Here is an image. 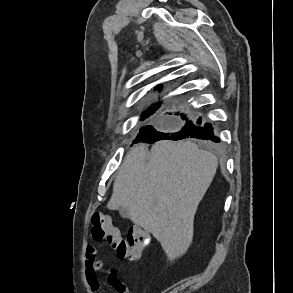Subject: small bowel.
I'll list each match as a JSON object with an SVG mask.
<instances>
[{
	"instance_id": "small-bowel-1",
	"label": "small bowel",
	"mask_w": 293,
	"mask_h": 293,
	"mask_svg": "<svg viewBox=\"0 0 293 293\" xmlns=\"http://www.w3.org/2000/svg\"><path fill=\"white\" fill-rule=\"evenodd\" d=\"M103 268L104 262L102 259L96 257L95 246L93 244H87L84 273L86 282L92 293H102L97 273ZM107 281L117 293H129L128 286L118 279L116 271H108Z\"/></svg>"
}]
</instances>
